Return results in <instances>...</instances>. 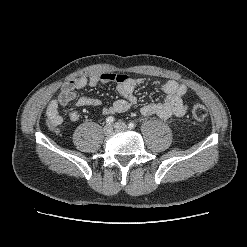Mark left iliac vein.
<instances>
[{
	"mask_svg": "<svg viewBox=\"0 0 247 247\" xmlns=\"http://www.w3.org/2000/svg\"><path fill=\"white\" fill-rule=\"evenodd\" d=\"M113 126L115 129H126L127 128L126 123L122 121L115 122Z\"/></svg>",
	"mask_w": 247,
	"mask_h": 247,
	"instance_id": "left-iliac-vein-1",
	"label": "left iliac vein"
}]
</instances>
